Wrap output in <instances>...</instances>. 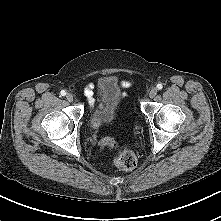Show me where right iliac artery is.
Instances as JSON below:
<instances>
[{"mask_svg": "<svg viewBox=\"0 0 221 221\" xmlns=\"http://www.w3.org/2000/svg\"><path fill=\"white\" fill-rule=\"evenodd\" d=\"M60 94H61V96H65V95H66V91H65V90H62V91L60 92Z\"/></svg>", "mask_w": 221, "mask_h": 221, "instance_id": "82829eb1", "label": "right iliac artery"}]
</instances>
